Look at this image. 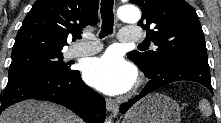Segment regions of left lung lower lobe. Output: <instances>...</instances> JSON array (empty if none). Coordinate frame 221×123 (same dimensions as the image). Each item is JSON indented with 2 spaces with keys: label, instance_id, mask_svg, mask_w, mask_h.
<instances>
[{
  "label": "left lung lower lobe",
  "instance_id": "0a47b994",
  "mask_svg": "<svg viewBox=\"0 0 221 123\" xmlns=\"http://www.w3.org/2000/svg\"><path fill=\"white\" fill-rule=\"evenodd\" d=\"M142 71L150 81L138 96L120 106L122 114L126 113L135 102L145 95L174 81H194L204 85L213 92L208 63L197 60H180L166 64L151 72Z\"/></svg>",
  "mask_w": 221,
  "mask_h": 123
}]
</instances>
